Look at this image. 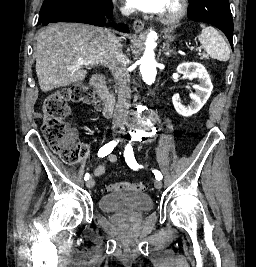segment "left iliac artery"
Instances as JSON below:
<instances>
[{
    "label": "left iliac artery",
    "mask_w": 256,
    "mask_h": 267,
    "mask_svg": "<svg viewBox=\"0 0 256 267\" xmlns=\"http://www.w3.org/2000/svg\"><path fill=\"white\" fill-rule=\"evenodd\" d=\"M124 157H125V161L128 164V166L133 169V170H137L138 168H142L141 165H139L135 158H134V153H133V148L130 144H128L125 147V151H124ZM153 173L155 174V178L157 180H161L163 178L162 174L160 171L158 170H153Z\"/></svg>",
    "instance_id": "1"
}]
</instances>
